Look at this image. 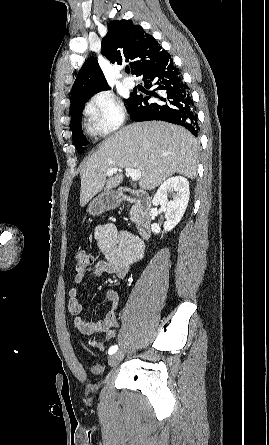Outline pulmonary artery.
Here are the masks:
<instances>
[{
    "instance_id": "pulmonary-artery-1",
    "label": "pulmonary artery",
    "mask_w": 269,
    "mask_h": 445,
    "mask_svg": "<svg viewBox=\"0 0 269 445\" xmlns=\"http://www.w3.org/2000/svg\"><path fill=\"white\" fill-rule=\"evenodd\" d=\"M122 82L126 88H133L135 85L134 81L130 78H124Z\"/></svg>"
}]
</instances>
